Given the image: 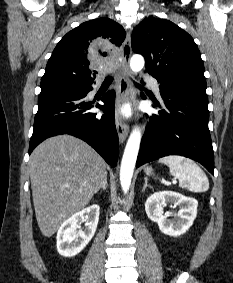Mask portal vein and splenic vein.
<instances>
[{
	"label": "portal vein and splenic vein",
	"instance_id": "18ae733b",
	"mask_svg": "<svg viewBox=\"0 0 233 283\" xmlns=\"http://www.w3.org/2000/svg\"><path fill=\"white\" fill-rule=\"evenodd\" d=\"M172 183H173V184H176V183H177V181H176V180H173V181H172Z\"/></svg>",
	"mask_w": 233,
	"mask_h": 283
}]
</instances>
